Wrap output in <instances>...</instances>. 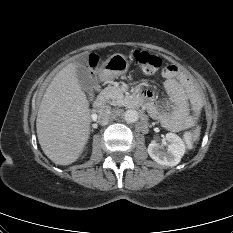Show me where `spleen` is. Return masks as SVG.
Segmentation results:
<instances>
[{"label": "spleen", "mask_w": 233, "mask_h": 233, "mask_svg": "<svg viewBox=\"0 0 233 233\" xmlns=\"http://www.w3.org/2000/svg\"><path fill=\"white\" fill-rule=\"evenodd\" d=\"M199 135H200V127L198 126V127L194 130V138H193V140H194V141L198 140Z\"/></svg>", "instance_id": "1"}]
</instances>
